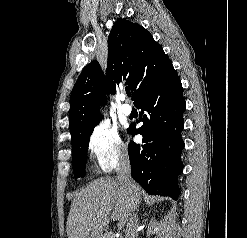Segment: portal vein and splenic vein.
I'll list each match as a JSON object with an SVG mask.
<instances>
[{
	"mask_svg": "<svg viewBox=\"0 0 247 238\" xmlns=\"http://www.w3.org/2000/svg\"><path fill=\"white\" fill-rule=\"evenodd\" d=\"M107 238H115L113 233H108Z\"/></svg>",
	"mask_w": 247,
	"mask_h": 238,
	"instance_id": "portal-vein-and-splenic-vein-1",
	"label": "portal vein and splenic vein"
}]
</instances>
